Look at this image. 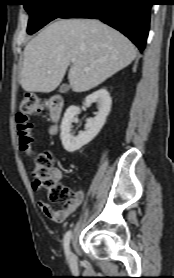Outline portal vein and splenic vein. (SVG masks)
I'll return each instance as SVG.
<instances>
[{
	"instance_id": "1",
	"label": "portal vein and splenic vein",
	"mask_w": 174,
	"mask_h": 278,
	"mask_svg": "<svg viewBox=\"0 0 174 278\" xmlns=\"http://www.w3.org/2000/svg\"><path fill=\"white\" fill-rule=\"evenodd\" d=\"M72 63H75V60H72ZM88 69H89L88 67L85 68V70H88Z\"/></svg>"
}]
</instances>
